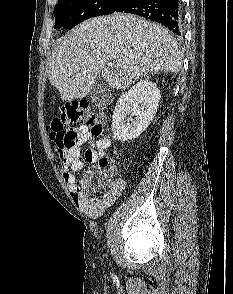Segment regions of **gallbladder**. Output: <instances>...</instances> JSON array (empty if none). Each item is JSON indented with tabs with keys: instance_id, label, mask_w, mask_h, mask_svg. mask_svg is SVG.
<instances>
[{
	"instance_id": "gallbladder-1",
	"label": "gallbladder",
	"mask_w": 233,
	"mask_h": 294,
	"mask_svg": "<svg viewBox=\"0 0 233 294\" xmlns=\"http://www.w3.org/2000/svg\"><path fill=\"white\" fill-rule=\"evenodd\" d=\"M110 88L103 81L96 84L91 92V100L94 104L104 105L111 97Z\"/></svg>"
}]
</instances>
